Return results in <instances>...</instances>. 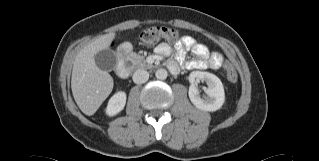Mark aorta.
<instances>
[{"label": "aorta", "instance_id": "obj_1", "mask_svg": "<svg viewBox=\"0 0 319 161\" xmlns=\"http://www.w3.org/2000/svg\"><path fill=\"white\" fill-rule=\"evenodd\" d=\"M157 79L165 80L168 76V73L165 69H158L155 73Z\"/></svg>", "mask_w": 319, "mask_h": 161}]
</instances>
